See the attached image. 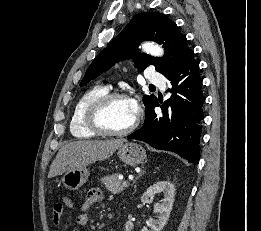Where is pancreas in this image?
Masks as SVG:
<instances>
[{
	"label": "pancreas",
	"mask_w": 261,
	"mask_h": 231,
	"mask_svg": "<svg viewBox=\"0 0 261 231\" xmlns=\"http://www.w3.org/2000/svg\"><path fill=\"white\" fill-rule=\"evenodd\" d=\"M119 174L105 176L101 179V182L105 185L106 189L112 194L121 193L128 185H124L118 178Z\"/></svg>",
	"instance_id": "1"
}]
</instances>
